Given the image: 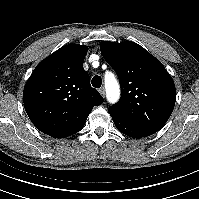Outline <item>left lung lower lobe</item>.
Here are the masks:
<instances>
[{"mask_svg":"<svg viewBox=\"0 0 199 199\" xmlns=\"http://www.w3.org/2000/svg\"><path fill=\"white\" fill-rule=\"evenodd\" d=\"M113 122L117 129L122 132L123 134L133 137V138H142L152 135L149 132H146L140 128L130 125L129 123L125 122L124 120L111 115Z\"/></svg>","mask_w":199,"mask_h":199,"instance_id":"left-lung-lower-lobe-1","label":"left lung lower lobe"}]
</instances>
